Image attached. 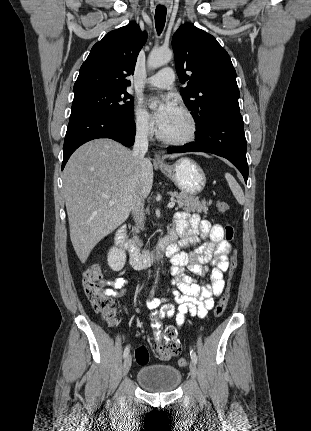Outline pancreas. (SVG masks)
<instances>
[{"label": "pancreas", "instance_id": "1", "mask_svg": "<svg viewBox=\"0 0 311 431\" xmlns=\"http://www.w3.org/2000/svg\"><path fill=\"white\" fill-rule=\"evenodd\" d=\"M171 196L176 198V202L178 204L176 210L182 208L184 212H197V214H208V206H211L212 202H206V200H200L198 196H188V194H181V192H171ZM134 231H139L138 227H134ZM135 243H140V239H138L137 235L132 237Z\"/></svg>", "mask_w": 311, "mask_h": 431}]
</instances>
